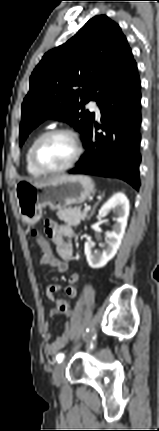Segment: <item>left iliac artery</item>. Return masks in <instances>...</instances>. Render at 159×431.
Masks as SVG:
<instances>
[{
	"instance_id": "obj_1",
	"label": "left iliac artery",
	"mask_w": 159,
	"mask_h": 431,
	"mask_svg": "<svg viewBox=\"0 0 159 431\" xmlns=\"http://www.w3.org/2000/svg\"><path fill=\"white\" fill-rule=\"evenodd\" d=\"M64 357H65V355H64L63 353H59V354L56 356V361H57L58 363H60V362L64 359Z\"/></svg>"
}]
</instances>
